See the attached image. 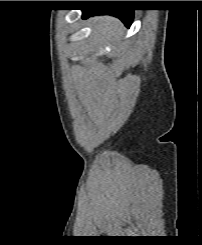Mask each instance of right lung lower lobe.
<instances>
[{"mask_svg": "<svg viewBox=\"0 0 202 245\" xmlns=\"http://www.w3.org/2000/svg\"><path fill=\"white\" fill-rule=\"evenodd\" d=\"M83 17L87 18L93 15H113L122 20V22L127 26L130 27L132 20H133V10L128 9H89V10H82Z\"/></svg>", "mask_w": 202, "mask_h": 245, "instance_id": "right-lung-lower-lobe-1", "label": "right lung lower lobe"}]
</instances>
